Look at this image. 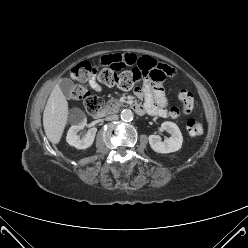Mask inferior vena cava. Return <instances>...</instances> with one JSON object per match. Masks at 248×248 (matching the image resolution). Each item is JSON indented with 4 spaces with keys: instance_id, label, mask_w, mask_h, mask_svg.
<instances>
[{
    "instance_id": "602c4592",
    "label": "inferior vena cava",
    "mask_w": 248,
    "mask_h": 248,
    "mask_svg": "<svg viewBox=\"0 0 248 248\" xmlns=\"http://www.w3.org/2000/svg\"><path fill=\"white\" fill-rule=\"evenodd\" d=\"M118 118H119V116L114 114V115L107 116L106 120L112 121V120H117Z\"/></svg>"
}]
</instances>
